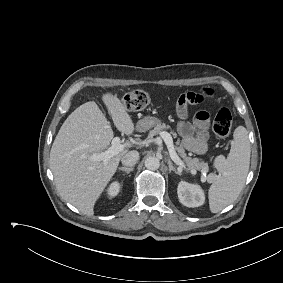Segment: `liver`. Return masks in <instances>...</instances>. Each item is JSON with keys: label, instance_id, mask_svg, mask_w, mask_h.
Listing matches in <instances>:
<instances>
[{"label": "liver", "instance_id": "liver-1", "mask_svg": "<svg viewBox=\"0 0 283 283\" xmlns=\"http://www.w3.org/2000/svg\"><path fill=\"white\" fill-rule=\"evenodd\" d=\"M102 100L116 128L131 135L135 126L121 100L111 93ZM113 130L107 118L94 101L74 110L60 128L50 151V168L56 187L64 200L83 214L92 216L94 205L115 174L123 149L107 163L92 161L89 156L105 150L113 139Z\"/></svg>", "mask_w": 283, "mask_h": 283}]
</instances>
